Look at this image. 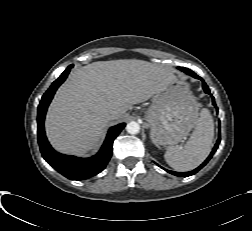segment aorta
<instances>
[{
    "label": "aorta",
    "instance_id": "aorta-1",
    "mask_svg": "<svg viewBox=\"0 0 252 231\" xmlns=\"http://www.w3.org/2000/svg\"><path fill=\"white\" fill-rule=\"evenodd\" d=\"M126 131L129 134H137L140 131V125L137 122L132 121L127 124Z\"/></svg>",
    "mask_w": 252,
    "mask_h": 231
}]
</instances>
